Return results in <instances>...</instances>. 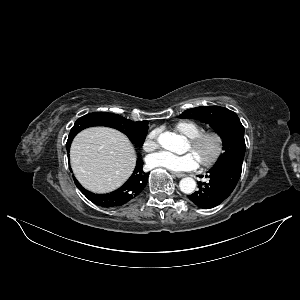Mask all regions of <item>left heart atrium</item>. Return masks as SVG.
Wrapping results in <instances>:
<instances>
[{
  "mask_svg": "<svg viewBox=\"0 0 300 300\" xmlns=\"http://www.w3.org/2000/svg\"><path fill=\"white\" fill-rule=\"evenodd\" d=\"M147 164L152 168H164L172 172H185L197 168L198 162L191 153L173 155L167 152H158L147 158Z\"/></svg>",
  "mask_w": 300,
  "mask_h": 300,
  "instance_id": "39dd6f15",
  "label": "left heart atrium"
}]
</instances>
